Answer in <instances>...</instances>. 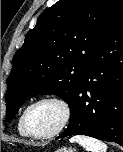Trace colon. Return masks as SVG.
<instances>
[{"label":"colon","mask_w":123,"mask_h":152,"mask_svg":"<svg viewBox=\"0 0 123 152\" xmlns=\"http://www.w3.org/2000/svg\"><path fill=\"white\" fill-rule=\"evenodd\" d=\"M1 152H9V151H7L6 149H2Z\"/></svg>","instance_id":"1"}]
</instances>
